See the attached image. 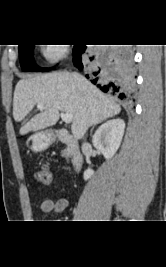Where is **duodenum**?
Instances as JSON below:
<instances>
[{"mask_svg": "<svg viewBox=\"0 0 166 267\" xmlns=\"http://www.w3.org/2000/svg\"><path fill=\"white\" fill-rule=\"evenodd\" d=\"M53 138L56 141L66 144L67 154L70 158L72 169L74 171H79L83 165V156L80 152L77 139L65 129L55 130Z\"/></svg>", "mask_w": 166, "mask_h": 267, "instance_id": "duodenum-1", "label": "duodenum"}]
</instances>
